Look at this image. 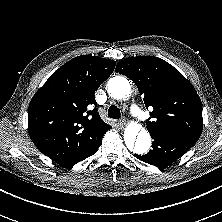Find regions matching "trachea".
I'll list each match as a JSON object with an SVG mask.
<instances>
[{
  "mask_svg": "<svg viewBox=\"0 0 222 222\" xmlns=\"http://www.w3.org/2000/svg\"><path fill=\"white\" fill-rule=\"evenodd\" d=\"M108 117L112 119H119L121 117L119 108L116 106H110L108 109Z\"/></svg>",
  "mask_w": 222,
  "mask_h": 222,
  "instance_id": "1",
  "label": "trachea"
}]
</instances>
